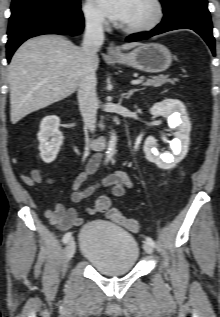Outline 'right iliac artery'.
<instances>
[{"mask_svg":"<svg viewBox=\"0 0 220 317\" xmlns=\"http://www.w3.org/2000/svg\"><path fill=\"white\" fill-rule=\"evenodd\" d=\"M72 238V234L70 232L66 233L63 237V243H67Z\"/></svg>","mask_w":220,"mask_h":317,"instance_id":"obj_1","label":"right iliac artery"}]
</instances>
